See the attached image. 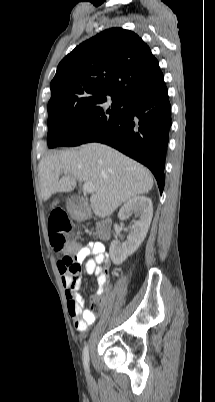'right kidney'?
<instances>
[{"label":"right kidney","instance_id":"obj_1","mask_svg":"<svg viewBox=\"0 0 215 402\" xmlns=\"http://www.w3.org/2000/svg\"><path fill=\"white\" fill-rule=\"evenodd\" d=\"M132 213L138 215L139 220L134 221L127 240L124 243L114 240L110 245V257L116 265L122 264L144 241L153 216L151 199L145 196H135L129 199L120 209L118 217L125 220Z\"/></svg>","mask_w":215,"mask_h":402}]
</instances>
